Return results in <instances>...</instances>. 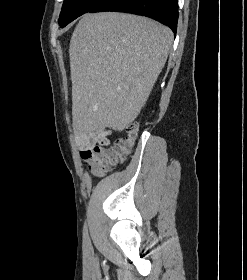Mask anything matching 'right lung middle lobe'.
Segmentation results:
<instances>
[{
	"mask_svg": "<svg viewBox=\"0 0 247 280\" xmlns=\"http://www.w3.org/2000/svg\"><path fill=\"white\" fill-rule=\"evenodd\" d=\"M102 0H64L59 17V24L63 28L77 17L90 12Z\"/></svg>",
	"mask_w": 247,
	"mask_h": 280,
	"instance_id": "obj_1",
	"label": "right lung middle lobe"
}]
</instances>
